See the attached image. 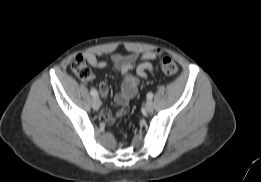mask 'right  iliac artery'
<instances>
[{
    "mask_svg": "<svg viewBox=\"0 0 261 182\" xmlns=\"http://www.w3.org/2000/svg\"><path fill=\"white\" fill-rule=\"evenodd\" d=\"M90 94H91L93 97L98 96V92H97L96 89H91V90H90Z\"/></svg>",
    "mask_w": 261,
    "mask_h": 182,
    "instance_id": "obj_1",
    "label": "right iliac artery"
}]
</instances>
